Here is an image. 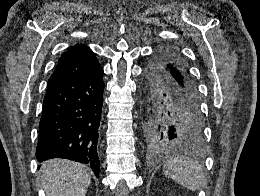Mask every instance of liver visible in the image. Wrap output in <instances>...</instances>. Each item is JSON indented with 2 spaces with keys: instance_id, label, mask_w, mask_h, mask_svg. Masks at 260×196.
Here are the masks:
<instances>
[{
  "instance_id": "obj_1",
  "label": "liver",
  "mask_w": 260,
  "mask_h": 196,
  "mask_svg": "<svg viewBox=\"0 0 260 196\" xmlns=\"http://www.w3.org/2000/svg\"><path fill=\"white\" fill-rule=\"evenodd\" d=\"M46 196H86L91 178L83 164L70 160H49L42 168Z\"/></svg>"
}]
</instances>
